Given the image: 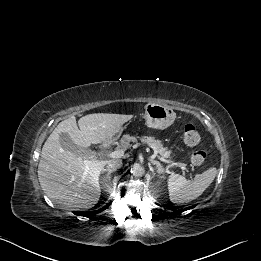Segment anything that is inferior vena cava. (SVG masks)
I'll list each match as a JSON object with an SVG mask.
<instances>
[{"instance_id":"inferior-vena-cava-1","label":"inferior vena cava","mask_w":261,"mask_h":261,"mask_svg":"<svg viewBox=\"0 0 261 261\" xmlns=\"http://www.w3.org/2000/svg\"><path fill=\"white\" fill-rule=\"evenodd\" d=\"M122 166V161L119 159L110 160L107 164V168L111 169L112 172L117 170Z\"/></svg>"}]
</instances>
